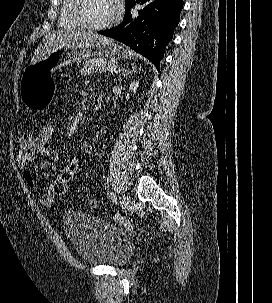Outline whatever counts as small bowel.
<instances>
[{
  "label": "small bowel",
  "instance_id": "c3829d8e",
  "mask_svg": "<svg viewBox=\"0 0 272 303\" xmlns=\"http://www.w3.org/2000/svg\"><path fill=\"white\" fill-rule=\"evenodd\" d=\"M82 150L88 155L92 153V147L89 143H83ZM40 157L43 158L40 164L41 169L56 164L60 160L59 152L54 147L43 145L30 134L23 135L16 153L18 166L23 169L29 162L35 161ZM55 197L56 194L53 185H50L46 193L40 198V204L46 208H50Z\"/></svg>",
  "mask_w": 272,
  "mask_h": 303
}]
</instances>
